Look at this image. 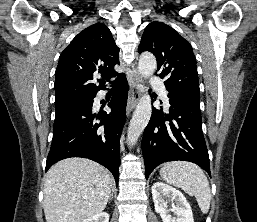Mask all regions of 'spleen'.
I'll use <instances>...</instances> for the list:
<instances>
[{
	"instance_id": "obj_1",
	"label": "spleen",
	"mask_w": 257,
	"mask_h": 222,
	"mask_svg": "<svg viewBox=\"0 0 257 222\" xmlns=\"http://www.w3.org/2000/svg\"><path fill=\"white\" fill-rule=\"evenodd\" d=\"M160 176L167 182L195 196L201 211L206 214L210 208L211 192L208 179L197 165L184 161L165 163Z\"/></svg>"
}]
</instances>
